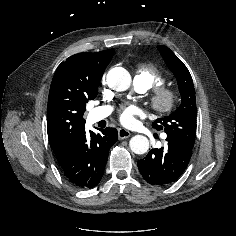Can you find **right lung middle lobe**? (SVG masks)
I'll list each match as a JSON object with an SVG mask.
<instances>
[{"instance_id": "right-lung-middle-lobe-1", "label": "right lung middle lobe", "mask_w": 236, "mask_h": 236, "mask_svg": "<svg viewBox=\"0 0 236 236\" xmlns=\"http://www.w3.org/2000/svg\"><path fill=\"white\" fill-rule=\"evenodd\" d=\"M97 90H98V87H96L95 91H94V94H93V99L96 97L97 95Z\"/></svg>"}]
</instances>
